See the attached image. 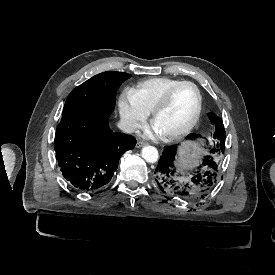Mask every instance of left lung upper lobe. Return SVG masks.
Returning a JSON list of instances; mask_svg holds the SVG:
<instances>
[{
    "label": "left lung upper lobe",
    "mask_w": 275,
    "mask_h": 275,
    "mask_svg": "<svg viewBox=\"0 0 275 275\" xmlns=\"http://www.w3.org/2000/svg\"><path fill=\"white\" fill-rule=\"evenodd\" d=\"M209 119L213 125H215V133L213 135V138L215 139L214 146L210 150V154L215 155L220 153V151L223 153L224 152V145H225V130L223 127V122L222 120L217 117L216 114L214 113H209L208 114ZM196 137L195 134H190L188 135L187 139H194ZM216 142V143H215ZM204 163L207 165H211L214 167H218L217 163L214 161L212 156H207L204 159Z\"/></svg>",
    "instance_id": "obj_1"
}]
</instances>
